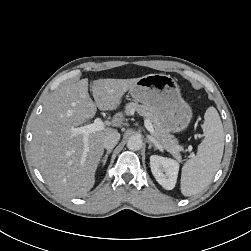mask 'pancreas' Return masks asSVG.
I'll return each instance as SVG.
<instances>
[{"label":"pancreas","instance_id":"cf45deb5","mask_svg":"<svg viewBox=\"0 0 251 251\" xmlns=\"http://www.w3.org/2000/svg\"><path fill=\"white\" fill-rule=\"evenodd\" d=\"M134 111H137L139 115L148 119L153 125L154 133L152 134L154 139L173 157L180 160V150L177 149L178 140L170 134L169 130L162 124L159 113L154 108L147 105H140L138 103H128L125 108V113L131 115Z\"/></svg>","mask_w":251,"mask_h":251}]
</instances>
